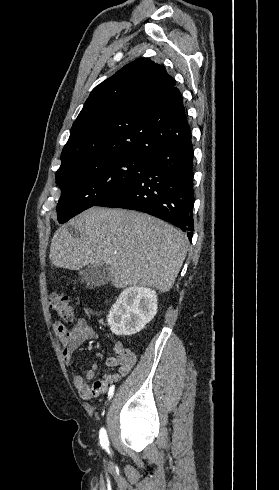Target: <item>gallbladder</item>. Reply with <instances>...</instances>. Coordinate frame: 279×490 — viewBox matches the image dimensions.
Returning <instances> with one entry per match:
<instances>
[{"label":"gallbladder","instance_id":"gallbladder-1","mask_svg":"<svg viewBox=\"0 0 279 490\" xmlns=\"http://www.w3.org/2000/svg\"><path fill=\"white\" fill-rule=\"evenodd\" d=\"M108 270L105 266H87L85 270H80L79 276L90 288H99L108 284Z\"/></svg>","mask_w":279,"mask_h":490}]
</instances>
